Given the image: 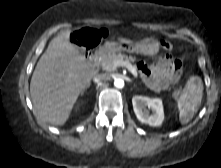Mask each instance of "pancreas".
Returning <instances> with one entry per match:
<instances>
[{
  "label": "pancreas",
  "mask_w": 221,
  "mask_h": 168,
  "mask_svg": "<svg viewBox=\"0 0 221 168\" xmlns=\"http://www.w3.org/2000/svg\"><path fill=\"white\" fill-rule=\"evenodd\" d=\"M117 60H122V61H127L129 63H134L136 61L135 57L132 56H127L124 54H116V53H112V54H107L101 57L100 59V65L102 67V69L110 72V71H114L116 70L117 67H114V62ZM178 95L177 92L173 93V96L176 98Z\"/></svg>",
  "instance_id": "pancreas-1"
}]
</instances>
